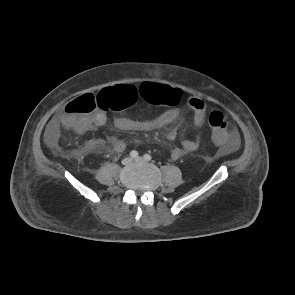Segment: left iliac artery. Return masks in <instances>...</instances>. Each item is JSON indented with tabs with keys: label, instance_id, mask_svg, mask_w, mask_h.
Here are the masks:
<instances>
[{
	"label": "left iliac artery",
	"instance_id": "left-iliac-artery-1",
	"mask_svg": "<svg viewBox=\"0 0 295 295\" xmlns=\"http://www.w3.org/2000/svg\"><path fill=\"white\" fill-rule=\"evenodd\" d=\"M144 159H145L146 161H150V160L152 159V157H151V155H149V154H145V155H144Z\"/></svg>",
	"mask_w": 295,
	"mask_h": 295
}]
</instances>
